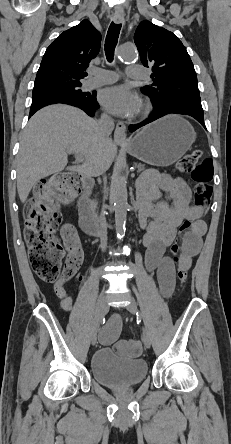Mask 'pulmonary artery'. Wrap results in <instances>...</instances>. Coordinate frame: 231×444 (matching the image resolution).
Here are the masks:
<instances>
[{
  "label": "pulmonary artery",
  "mask_w": 231,
  "mask_h": 444,
  "mask_svg": "<svg viewBox=\"0 0 231 444\" xmlns=\"http://www.w3.org/2000/svg\"><path fill=\"white\" fill-rule=\"evenodd\" d=\"M93 77L88 79L84 87L86 89H92L105 84L114 83L118 79L116 72L104 69H91ZM145 69L140 66H129L126 70L127 77L132 80H141L144 78Z\"/></svg>",
  "instance_id": "1"
}]
</instances>
